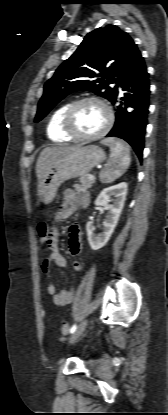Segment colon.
Here are the masks:
<instances>
[{"instance_id": "5ec220e1", "label": "colon", "mask_w": 168, "mask_h": 415, "mask_svg": "<svg viewBox=\"0 0 168 415\" xmlns=\"http://www.w3.org/2000/svg\"><path fill=\"white\" fill-rule=\"evenodd\" d=\"M38 235L40 237V240L42 242H46L48 236H49V226L47 222H41L38 225ZM61 331L64 335L68 334L69 332V325L67 323H64L61 326Z\"/></svg>"}]
</instances>
